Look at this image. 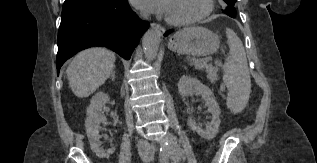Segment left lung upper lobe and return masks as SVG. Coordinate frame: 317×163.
Instances as JSON below:
<instances>
[{
  "mask_svg": "<svg viewBox=\"0 0 317 163\" xmlns=\"http://www.w3.org/2000/svg\"><path fill=\"white\" fill-rule=\"evenodd\" d=\"M223 1L227 4V7H225L222 11L225 12L230 17L234 18L236 15V10L234 8V4L236 0H223Z\"/></svg>",
  "mask_w": 317,
  "mask_h": 163,
  "instance_id": "1",
  "label": "left lung upper lobe"
}]
</instances>
